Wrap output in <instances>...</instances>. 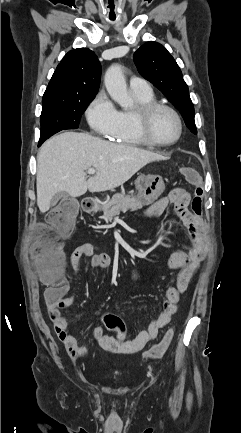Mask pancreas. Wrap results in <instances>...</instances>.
Returning <instances> with one entry per match:
<instances>
[{"instance_id": "obj_1", "label": "pancreas", "mask_w": 241, "mask_h": 433, "mask_svg": "<svg viewBox=\"0 0 241 433\" xmlns=\"http://www.w3.org/2000/svg\"><path fill=\"white\" fill-rule=\"evenodd\" d=\"M143 205H146V203L136 196L118 193L102 206L103 215L100 218L109 222L121 211H136L141 209Z\"/></svg>"}]
</instances>
